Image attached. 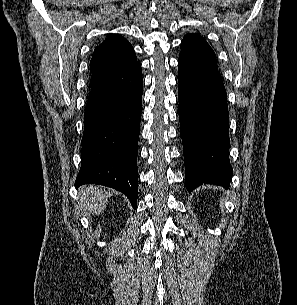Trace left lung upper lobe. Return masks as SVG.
Here are the masks:
<instances>
[{
    "mask_svg": "<svg viewBox=\"0 0 297 305\" xmlns=\"http://www.w3.org/2000/svg\"><path fill=\"white\" fill-rule=\"evenodd\" d=\"M186 71L218 69L216 55L206 40L198 34H186L181 42L179 66Z\"/></svg>",
    "mask_w": 297,
    "mask_h": 305,
    "instance_id": "5c2ea615",
    "label": "left lung upper lobe"
}]
</instances>
